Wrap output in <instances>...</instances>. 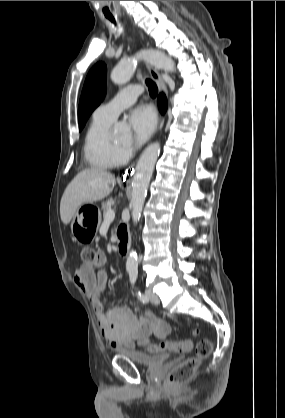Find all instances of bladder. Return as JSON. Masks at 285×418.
Segmentation results:
<instances>
[{
    "instance_id": "obj_1",
    "label": "bladder",
    "mask_w": 285,
    "mask_h": 418,
    "mask_svg": "<svg viewBox=\"0 0 285 418\" xmlns=\"http://www.w3.org/2000/svg\"><path fill=\"white\" fill-rule=\"evenodd\" d=\"M116 354L119 356H126L136 364L144 367H156L163 364L168 358L167 353H141L130 348L119 347L116 349Z\"/></svg>"
}]
</instances>
